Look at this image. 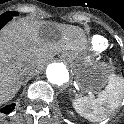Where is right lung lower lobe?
<instances>
[{"label":"right lung lower lobe","mask_w":124,"mask_h":124,"mask_svg":"<svg viewBox=\"0 0 124 124\" xmlns=\"http://www.w3.org/2000/svg\"><path fill=\"white\" fill-rule=\"evenodd\" d=\"M12 19L11 16H1L0 17V29L6 24L8 23L10 20ZM15 104H11V105H7L6 107H4L3 109L0 110V112L2 113H9L14 109Z\"/></svg>","instance_id":"obj_1"}]
</instances>
